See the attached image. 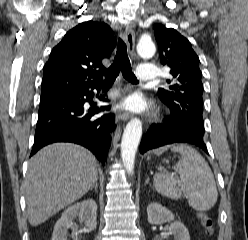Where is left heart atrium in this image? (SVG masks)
Masks as SVG:
<instances>
[{"mask_svg":"<svg viewBox=\"0 0 248 240\" xmlns=\"http://www.w3.org/2000/svg\"><path fill=\"white\" fill-rule=\"evenodd\" d=\"M124 107L131 111H142L145 103L139 94H132L124 101Z\"/></svg>","mask_w":248,"mask_h":240,"instance_id":"1","label":"left heart atrium"}]
</instances>
